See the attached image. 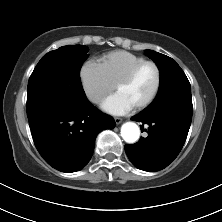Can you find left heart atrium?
Masks as SVG:
<instances>
[{
	"instance_id": "1",
	"label": "left heart atrium",
	"mask_w": 222,
	"mask_h": 222,
	"mask_svg": "<svg viewBox=\"0 0 222 222\" xmlns=\"http://www.w3.org/2000/svg\"><path fill=\"white\" fill-rule=\"evenodd\" d=\"M101 108L111 115H125L132 111L134 106L121 93L116 92L102 102Z\"/></svg>"
}]
</instances>
